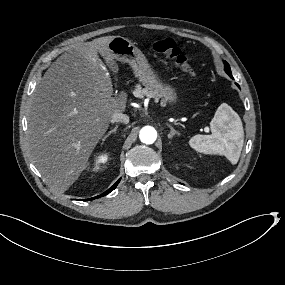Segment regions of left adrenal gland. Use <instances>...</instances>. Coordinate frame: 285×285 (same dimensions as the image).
Segmentation results:
<instances>
[{
    "label": "left adrenal gland",
    "mask_w": 285,
    "mask_h": 285,
    "mask_svg": "<svg viewBox=\"0 0 285 285\" xmlns=\"http://www.w3.org/2000/svg\"><path fill=\"white\" fill-rule=\"evenodd\" d=\"M167 127H169L171 130V132L168 135L170 141L173 139L174 136H179V133H177L171 125L167 124Z\"/></svg>",
    "instance_id": "left-adrenal-gland-1"
}]
</instances>
